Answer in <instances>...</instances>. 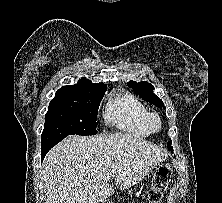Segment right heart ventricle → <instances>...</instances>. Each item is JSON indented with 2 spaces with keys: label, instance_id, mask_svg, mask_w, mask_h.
<instances>
[{
  "label": "right heart ventricle",
  "instance_id": "e07e8e85",
  "mask_svg": "<svg viewBox=\"0 0 222 203\" xmlns=\"http://www.w3.org/2000/svg\"><path fill=\"white\" fill-rule=\"evenodd\" d=\"M146 106L130 94L110 97L104 112L105 120L121 131L135 136H148L152 130L148 124Z\"/></svg>",
  "mask_w": 222,
  "mask_h": 203
}]
</instances>
